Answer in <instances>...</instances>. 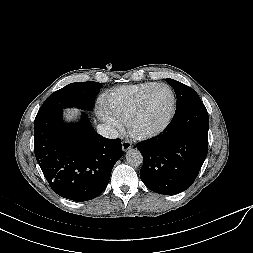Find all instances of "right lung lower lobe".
Here are the masks:
<instances>
[{"label": "right lung lower lobe", "mask_w": 253, "mask_h": 253, "mask_svg": "<svg viewBox=\"0 0 253 253\" xmlns=\"http://www.w3.org/2000/svg\"><path fill=\"white\" fill-rule=\"evenodd\" d=\"M34 139L35 156L50 187L74 201L100 195L114 164L123 155L119 139L97 134L86 115L78 123L65 124L59 107L39 110Z\"/></svg>", "instance_id": "obj_1"}]
</instances>
